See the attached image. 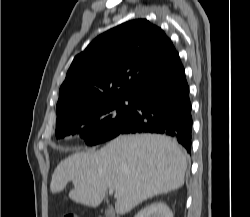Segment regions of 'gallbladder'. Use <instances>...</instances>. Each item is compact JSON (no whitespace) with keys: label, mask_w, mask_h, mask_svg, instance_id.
<instances>
[{"label":"gallbladder","mask_w":250,"mask_h":217,"mask_svg":"<svg viewBox=\"0 0 250 217\" xmlns=\"http://www.w3.org/2000/svg\"><path fill=\"white\" fill-rule=\"evenodd\" d=\"M106 217H114V212L111 209L105 210Z\"/></svg>","instance_id":"bac80fb5"}]
</instances>
